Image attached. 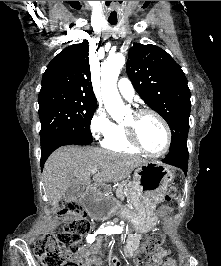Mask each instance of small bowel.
Masks as SVG:
<instances>
[{
  "instance_id": "small-bowel-1",
  "label": "small bowel",
  "mask_w": 221,
  "mask_h": 266,
  "mask_svg": "<svg viewBox=\"0 0 221 266\" xmlns=\"http://www.w3.org/2000/svg\"><path fill=\"white\" fill-rule=\"evenodd\" d=\"M162 211L164 213H170L172 209L170 207H163ZM94 234L95 232H92L88 234V236L91 237ZM140 240H141V235L138 233H131L127 236L123 249L124 255L127 258L133 257L135 250L139 246ZM100 244H101V239L98 238L96 243L90 245L89 249L86 251V253L83 256L79 255L70 256V259L75 261L77 266H100V259L97 256V251L100 247ZM169 255H170L169 250L165 248H159L157 252L153 255V263L150 266H166V262L169 259H171ZM109 266H121V264L116 257L112 256L109 258Z\"/></svg>"
}]
</instances>
